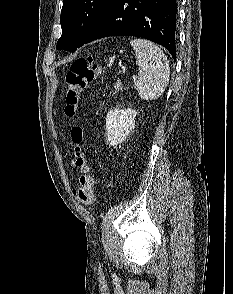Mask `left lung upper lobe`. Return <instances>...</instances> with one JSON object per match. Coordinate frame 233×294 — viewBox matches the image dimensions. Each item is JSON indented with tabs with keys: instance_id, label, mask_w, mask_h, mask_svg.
<instances>
[{
	"instance_id": "left-lung-upper-lobe-1",
	"label": "left lung upper lobe",
	"mask_w": 233,
	"mask_h": 294,
	"mask_svg": "<svg viewBox=\"0 0 233 294\" xmlns=\"http://www.w3.org/2000/svg\"><path fill=\"white\" fill-rule=\"evenodd\" d=\"M111 0H63L60 23L62 35L57 49L71 52L84 45Z\"/></svg>"
}]
</instances>
